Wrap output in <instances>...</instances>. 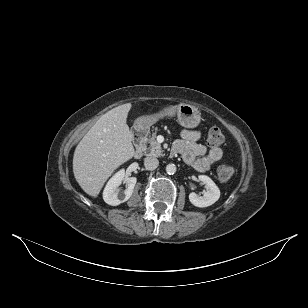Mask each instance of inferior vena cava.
I'll use <instances>...</instances> for the list:
<instances>
[{"instance_id":"1","label":"inferior vena cava","mask_w":308,"mask_h":308,"mask_svg":"<svg viewBox=\"0 0 308 308\" xmlns=\"http://www.w3.org/2000/svg\"><path fill=\"white\" fill-rule=\"evenodd\" d=\"M144 165L148 170H154L158 167L159 161L155 157H147L144 161Z\"/></svg>"}]
</instances>
